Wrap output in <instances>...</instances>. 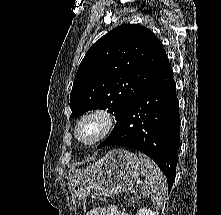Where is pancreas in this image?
Listing matches in <instances>:
<instances>
[{
  "instance_id": "obj_1",
  "label": "pancreas",
  "mask_w": 221,
  "mask_h": 215,
  "mask_svg": "<svg viewBox=\"0 0 221 215\" xmlns=\"http://www.w3.org/2000/svg\"><path fill=\"white\" fill-rule=\"evenodd\" d=\"M134 204H139V198L138 197L128 200V206L129 207L134 206Z\"/></svg>"
}]
</instances>
